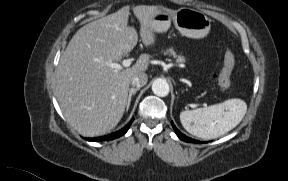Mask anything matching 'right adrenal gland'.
Wrapping results in <instances>:
<instances>
[{
    "mask_svg": "<svg viewBox=\"0 0 288 181\" xmlns=\"http://www.w3.org/2000/svg\"><path fill=\"white\" fill-rule=\"evenodd\" d=\"M140 88H131L129 90V96H128V102H127V107H126V111H128L129 106L131 104V99H132V95H135L137 91H139Z\"/></svg>",
    "mask_w": 288,
    "mask_h": 181,
    "instance_id": "1",
    "label": "right adrenal gland"
}]
</instances>
